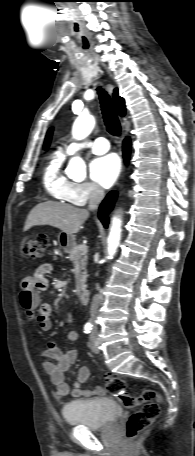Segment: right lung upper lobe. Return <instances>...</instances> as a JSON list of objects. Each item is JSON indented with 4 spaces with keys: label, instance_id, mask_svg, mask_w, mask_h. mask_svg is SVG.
I'll return each mask as SVG.
<instances>
[{
    "label": "right lung upper lobe",
    "instance_id": "obj_1",
    "mask_svg": "<svg viewBox=\"0 0 195 456\" xmlns=\"http://www.w3.org/2000/svg\"><path fill=\"white\" fill-rule=\"evenodd\" d=\"M113 98H114L119 115L124 116L125 111H126L125 102H124V99L118 95V89L114 90ZM51 135H52V129H50L47 133L46 140H45V149H47L49 146V143L51 140Z\"/></svg>",
    "mask_w": 195,
    "mask_h": 456
}]
</instances>
